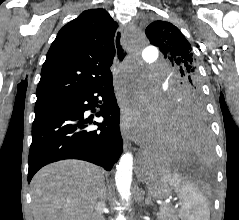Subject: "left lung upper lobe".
Wrapping results in <instances>:
<instances>
[{
  "instance_id": "1",
  "label": "left lung upper lobe",
  "mask_w": 239,
  "mask_h": 220,
  "mask_svg": "<svg viewBox=\"0 0 239 220\" xmlns=\"http://www.w3.org/2000/svg\"><path fill=\"white\" fill-rule=\"evenodd\" d=\"M150 43L160 48L178 73L170 87L169 107L180 112L192 109L204 112L200 77L190 43L181 31L169 22L155 21L146 28Z\"/></svg>"
}]
</instances>
